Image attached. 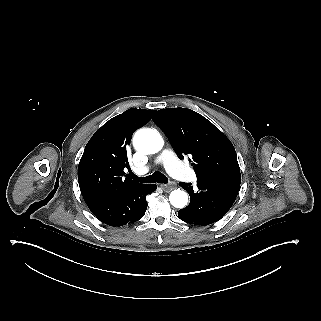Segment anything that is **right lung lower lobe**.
I'll return each mask as SVG.
<instances>
[{
	"mask_svg": "<svg viewBox=\"0 0 321 321\" xmlns=\"http://www.w3.org/2000/svg\"><path fill=\"white\" fill-rule=\"evenodd\" d=\"M155 184L139 185L112 198L88 205L91 212L103 223L121 226L134 223L143 217L147 209L146 196L156 190Z\"/></svg>",
	"mask_w": 321,
	"mask_h": 321,
	"instance_id": "1",
	"label": "right lung lower lobe"
}]
</instances>
